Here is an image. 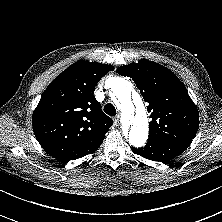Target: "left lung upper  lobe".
I'll return each mask as SVG.
<instances>
[{"label": "left lung upper lobe", "mask_w": 222, "mask_h": 222, "mask_svg": "<svg viewBox=\"0 0 222 222\" xmlns=\"http://www.w3.org/2000/svg\"><path fill=\"white\" fill-rule=\"evenodd\" d=\"M117 73L133 79L148 103V139H169L191 142L199 126L197 107L183 83L166 67L149 60H140L119 67Z\"/></svg>", "instance_id": "left-lung-upper-lobe-1"}]
</instances>
